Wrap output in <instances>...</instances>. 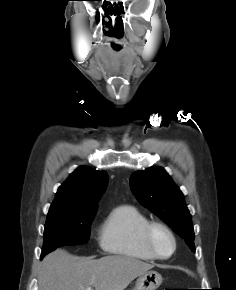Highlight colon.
<instances>
[{"label":"colon","instance_id":"5ec220e1","mask_svg":"<svg viewBox=\"0 0 236 290\" xmlns=\"http://www.w3.org/2000/svg\"><path fill=\"white\" fill-rule=\"evenodd\" d=\"M164 290H178V289H164Z\"/></svg>","mask_w":236,"mask_h":290}]
</instances>
